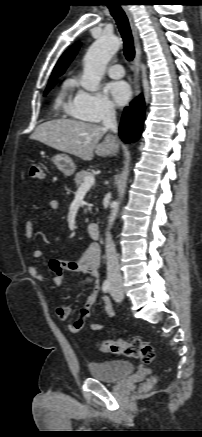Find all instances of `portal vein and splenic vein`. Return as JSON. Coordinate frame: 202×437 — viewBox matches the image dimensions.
I'll return each mask as SVG.
<instances>
[{
    "label": "portal vein and splenic vein",
    "mask_w": 202,
    "mask_h": 437,
    "mask_svg": "<svg viewBox=\"0 0 202 437\" xmlns=\"http://www.w3.org/2000/svg\"><path fill=\"white\" fill-rule=\"evenodd\" d=\"M95 183L94 176L85 177L83 183L80 185L79 190H88Z\"/></svg>",
    "instance_id": "obj_1"
}]
</instances>
